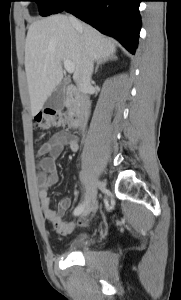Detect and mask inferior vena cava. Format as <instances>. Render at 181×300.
<instances>
[{
	"instance_id": "inferior-vena-cava-1",
	"label": "inferior vena cava",
	"mask_w": 181,
	"mask_h": 300,
	"mask_svg": "<svg viewBox=\"0 0 181 300\" xmlns=\"http://www.w3.org/2000/svg\"><path fill=\"white\" fill-rule=\"evenodd\" d=\"M69 19L74 26H79V22L75 17L70 16ZM92 73H93V60L91 58H89L88 56H85L84 62H83L82 73L80 75L79 80L77 81L78 89L82 93V96H83L82 106H81V121H82L83 125L87 121L89 114H90L91 102L89 100V97L87 96V93L91 88L90 81H91Z\"/></svg>"
}]
</instances>
